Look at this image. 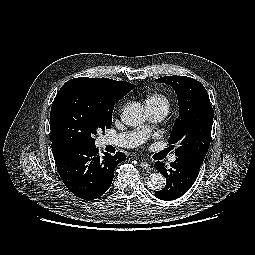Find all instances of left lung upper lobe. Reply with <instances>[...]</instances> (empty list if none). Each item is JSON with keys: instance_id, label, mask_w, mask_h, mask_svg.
<instances>
[{"instance_id": "5c2ea615", "label": "left lung upper lobe", "mask_w": 255, "mask_h": 255, "mask_svg": "<svg viewBox=\"0 0 255 255\" xmlns=\"http://www.w3.org/2000/svg\"><path fill=\"white\" fill-rule=\"evenodd\" d=\"M175 90L179 104V117L168 142L178 144L177 157H186L203 163L211 139L213 108L205 87L186 76H165L156 79Z\"/></svg>"}]
</instances>
